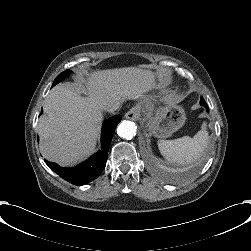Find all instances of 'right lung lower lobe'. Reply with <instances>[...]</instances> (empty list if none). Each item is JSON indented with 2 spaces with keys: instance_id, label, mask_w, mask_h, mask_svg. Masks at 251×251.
Here are the masks:
<instances>
[{
  "instance_id": "98d812e1",
  "label": "right lung lower lobe",
  "mask_w": 251,
  "mask_h": 251,
  "mask_svg": "<svg viewBox=\"0 0 251 251\" xmlns=\"http://www.w3.org/2000/svg\"><path fill=\"white\" fill-rule=\"evenodd\" d=\"M121 116L116 115L105 120L102 126L101 149L86 161L72 168H63L56 163H45L60 177L73 185H84L96 179L106 166L109 146Z\"/></svg>"
}]
</instances>
